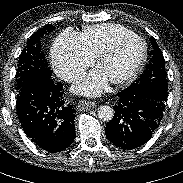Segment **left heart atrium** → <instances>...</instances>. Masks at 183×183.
I'll return each mask as SVG.
<instances>
[{
	"label": "left heart atrium",
	"instance_id": "left-heart-atrium-1",
	"mask_svg": "<svg viewBox=\"0 0 183 183\" xmlns=\"http://www.w3.org/2000/svg\"><path fill=\"white\" fill-rule=\"evenodd\" d=\"M108 84L109 80L107 77L99 68H97L80 84L75 86L74 91L85 96H97L108 87Z\"/></svg>",
	"mask_w": 183,
	"mask_h": 183
}]
</instances>
